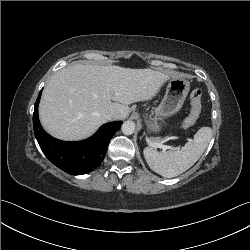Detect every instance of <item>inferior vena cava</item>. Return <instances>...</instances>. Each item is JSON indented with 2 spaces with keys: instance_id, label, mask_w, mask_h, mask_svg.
Segmentation results:
<instances>
[{
  "instance_id": "obj_1",
  "label": "inferior vena cava",
  "mask_w": 250,
  "mask_h": 250,
  "mask_svg": "<svg viewBox=\"0 0 250 250\" xmlns=\"http://www.w3.org/2000/svg\"><path fill=\"white\" fill-rule=\"evenodd\" d=\"M115 116H116V113L114 111H110V112L107 113V119L108 120L114 119Z\"/></svg>"
}]
</instances>
